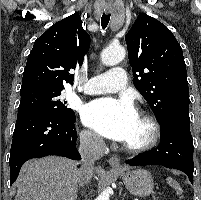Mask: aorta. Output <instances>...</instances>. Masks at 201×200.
Returning <instances> with one entry per match:
<instances>
[{
	"label": "aorta",
	"mask_w": 201,
	"mask_h": 200,
	"mask_svg": "<svg viewBox=\"0 0 201 200\" xmlns=\"http://www.w3.org/2000/svg\"><path fill=\"white\" fill-rule=\"evenodd\" d=\"M126 55V51L122 46L108 47L101 54V61L104 65L113 66L120 63ZM110 189L103 190L96 200H109Z\"/></svg>",
	"instance_id": "obj_1"
}]
</instances>
